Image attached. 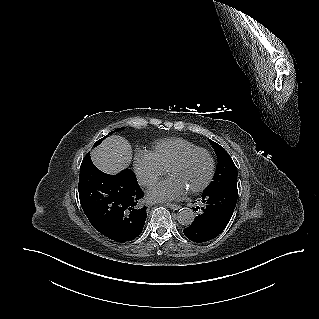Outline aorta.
Returning <instances> with one entry per match:
<instances>
[{"label": "aorta", "instance_id": "762f6f07", "mask_svg": "<svg viewBox=\"0 0 319 319\" xmlns=\"http://www.w3.org/2000/svg\"><path fill=\"white\" fill-rule=\"evenodd\" d=\"M195 214L191 208H181L177 215V220L181 225L189 226L194 221Z\"/></svg>", "mask_w": 319, "mask_h": 319}]
</instances>
